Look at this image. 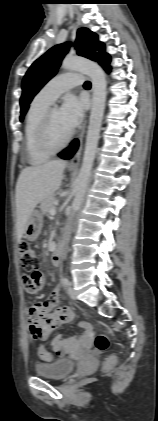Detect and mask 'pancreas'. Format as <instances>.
I'll return each mask as SVG.
<instances>
[{"label": "pancreas", "mask_w": 158, "mask_h": 421, "mask_svg": "<svg viewBox=\"0 0 158 421\" xmlns=\"http://www.w3.org/2000/svg\"><path fill=\"white\" fill-rule=\"evenodd\" d=\"M57 203L56 197L52 195L41 202L40 209L43 214H50V210L55 208Z\"/></svg>", "instance_id": "cf45deb5"}]
</instances>
